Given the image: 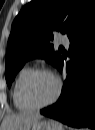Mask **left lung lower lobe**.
<instances>
[{"label": "left lung lower lobe", "instance_id": "left-lung-lower-lobe-1", "mask_svg": "<svg viewBox=\"0 0 95 130\" xmlns=\"http://www.w3.org/2000/svg\"><path fill=\"white\" fill-rule=\"evenodd\" d=\"M70 61L66 64L67 77L59 100L40 110L42 115L56 119L72 127L95 126V12L69 37ZM82 39V59L78 60ZM64 60L57 63L62 71Z\"/></svg>", "mask_w": 95, "mask_h": 130}]
</instances>
